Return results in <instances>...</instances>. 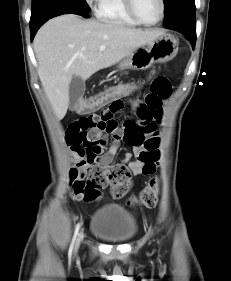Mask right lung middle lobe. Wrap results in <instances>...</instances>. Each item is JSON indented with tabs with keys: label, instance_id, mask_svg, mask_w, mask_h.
Returning a JSON list of instances; mask_svg holds the SVG:
<instances>
[{
	"label": "right lung middle lobe",
	"instance_id": "1",
	"mask_svg": "<svg viewBox=\"0 0 231 281\" xmlns=\"http://www.w3.org/2000/svg\"><path fill=\"white\" fill-rule=\"evenodd\" d=\"M41 1L42 0H32V8L37 6L39 4V2H41ZM69 1L78 4L85 12L89 13L90 8L84 0H69Z\"/></svg>",
	"mask_w": 231,
	"mask_h": 281
}]
</instances>
